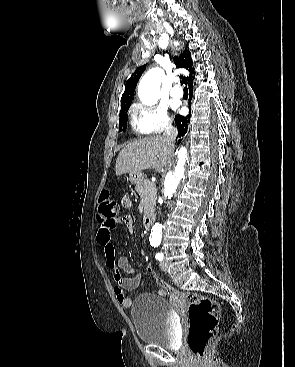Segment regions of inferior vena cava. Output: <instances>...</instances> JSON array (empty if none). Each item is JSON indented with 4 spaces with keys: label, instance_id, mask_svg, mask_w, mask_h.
Here are the masks:
<instances>
[{
    "label": "inferior vena cava",
    "instance_id": "inferior-vena-cava-1",
    "mask_svg": "<svg viewBox=\"0 0 295 367\" xmlns=\"http://www.w3.org/2000/svg\"><path fill=\"white\" fill-rule=\"evenodd\" d=\"M176 137H177V129L174 128L171 124L168 125L165 128L163 138H164L165 142L167 143V146L170 149L174 148V142H175Z\"/></svg>",
    "mask_w": 295,
    "mask_h": 367
}]
</instances>
